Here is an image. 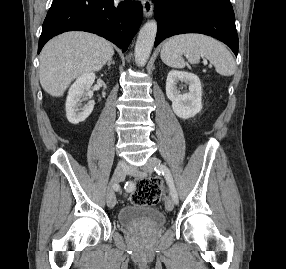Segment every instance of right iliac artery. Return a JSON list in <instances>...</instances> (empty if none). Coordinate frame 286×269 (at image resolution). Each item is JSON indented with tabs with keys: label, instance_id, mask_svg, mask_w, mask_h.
Masks as SVG:
<instances>
[{
	"label": "right iliac artery",
	"instance_id": "obj_1",
	"mask_svg": "<svg viewBox=\"0 0 286 269\" xmlns=\"http://www.w3.org/2000/svg\"><path fill=\"white\" fill-rule=\"evenodd\" d=\"M128 187H132V183H131V182H127V183L125 184V189L128 188ZM113 189H114V190H118V189H119V185H118V184H114V185H113Z\"/></svg>",
	"mask_w": 286,
	"mask_h": 269
}]
</instances>
